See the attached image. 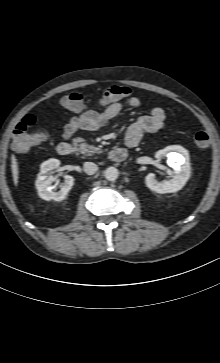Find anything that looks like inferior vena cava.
I'll list each match as a JSON object with an SVG mask.
<instances>
[{
    "label": "inferior vena cava",
    "mask_w": 220,
    "mask_h": 363,
    "mask_svg": "<svg viewBox=\"0 0 220 363\" xmlns=\"http://www.w3.org/2000/svg\"><path fill=\"white\" fill-rule=\"evenodd\" d=\"M98 170V166L93 162H85L84 163V171L88 175H93Z\"/></svg>",
    "instance_id": "inferior-vena-cava-1"
}]
</instances>
